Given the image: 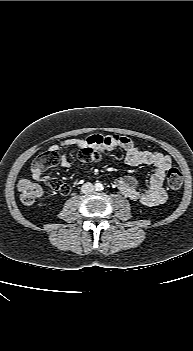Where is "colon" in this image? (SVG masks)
Segmentation results:
<instances>
[{"label":"colon","instance_id":"colon-1","mask_svg":"<svg viewBox=\"0 0 193 351\" xmlns=\"http://www.w3.org/2000/svg\"><path fill=\"white\" fill-rule=\"evenodd\" d=\"M77 158L80 162L90 163L99 160L100 155L97 149H90L88 146H85L78 152ZM58 161L57 152L47 151L36 158L32 166V171L42 172L49 167L55 166ZM182 182L183 177L181 172L176 167L170 168L167 173V184L169 188L174 190L179 189ZM50 186L62 194H68L70 192L69 186L58 179H52L50 181ZM18 191L22 202L30 205L39 199L42 194V187L30 179L22 178L18 182Z\"/></svg>","mask_w":193,"mask_h":351}]
</instances>
